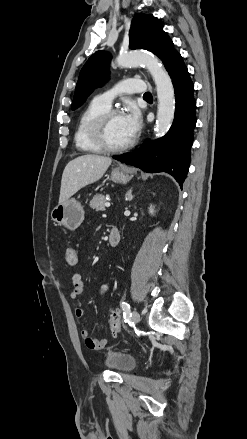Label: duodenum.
Returning <instances> with one entry per match:
<instances>
[{
	"mask_svg": "<svg viewBox=\"0 0 247 439\" xmlns=\"http://www.w3.org/2000/svg\"><path fill=\"white\" fill-rule=\"evenodd\" d=\"M120 240H121V235L119 229L116 226L111 225L109 229V237H108L109 244L112 247H115L120 243Z\"/></svg>",
	"mask_w": 247,
	"mask_h": 439,
	"instance_id": "1",
	"label": "duodenum"
}]
</instances>
